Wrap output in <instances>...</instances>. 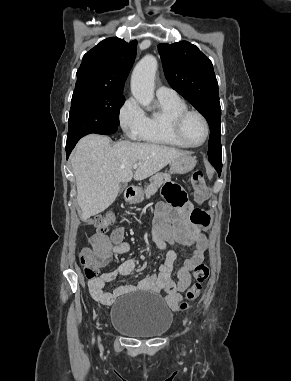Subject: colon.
I'll list each match as a JSON object with an SVG mask.
<instances>
[{
	"label": "colon",
	"instance_id": "5ec220e1",
	"mask_svg": "<svg viewBox=\"0 0 291 381\" xmlns=\"http://www.w3.org/2000/svg\"><path fill=\"white\" fill-rule=\"evenodd\" d=\"M191 182L196 198L199 201H204L208 196L209 190L203 173L200 171L194 172L191 177ZM170 200L176 205L182 202V199L174 196H171ZM114 221V212L106 211L97 215L94 219L89 220L88 223L90 225H94L99 233H104L110 228V226L113 225ZM191 222L198 229V231H202L208 228L210 224V216L204 210L196 208L191 213ZM109 256L110 255L105 251H96L91 247L83 248L80 252V260L84 267L85 276L88 279L97 277L100 268L109 262ZM209 273V267L205 263L196 265L193 271L195 283L187 290V301H194L199 297L202 290V284L208 279ZM187 306V302L184 301L180 304L179 308L180 310H186Z\"/></svg>",
	"mask_w": 291,
	"mask_h": 381
}]
</instances>
